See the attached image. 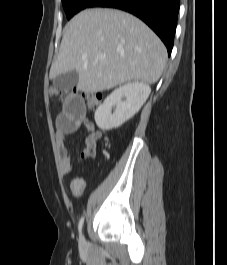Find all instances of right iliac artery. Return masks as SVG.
Here are the masks:
<instances>
[{
    "instance_id": "1",
    "label": "right iliac artery",
    "mask_w": 227,
    "mask_h": 265,
    "mask_svg": "<svg viewBox=\"0 0 227 265\" xmlns=\"http://www.w3.org/2000/svg\"><path fill=\"white\" fill-rule=\"evenodd\" d=\"M84 223V216L80 219L79 224H78V230L81 233L82 227Z\"/></svg>"
}]
</instances>
